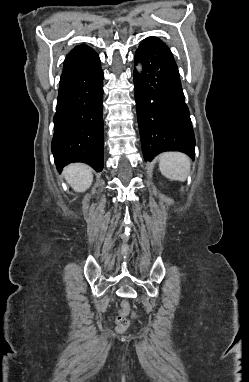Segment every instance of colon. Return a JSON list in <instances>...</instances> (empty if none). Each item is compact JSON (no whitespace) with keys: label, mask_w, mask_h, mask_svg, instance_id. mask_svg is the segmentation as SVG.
I'll use <instances>...</instances> for the list:
<instances>
[{"label":"colon","mask_w":249,"mask_h":382,"mask_svg":"<svg viewBox=\"0 0 249 382\" xmlns=\"http://www.w3.org/2000/svg\"><path fill=\"white\" fill-rule=\"evenodd\" d=\"M130 311V305L127 302H122V309L116 318V329L117 331H124L129 326L128 314Z\"/></svg>","instance_id":"colon-1"}]
</instances>
